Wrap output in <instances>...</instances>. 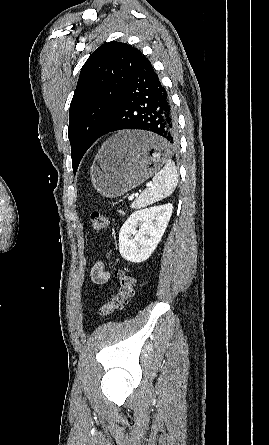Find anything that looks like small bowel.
Returning a JSON list of instances; mask_svg holds the SVG:
<instances>
[{"instance_id": "c3829d8e", "label": "small bowel", "mask_w": 269, "mask_h": 445, "mask_svg": "<svg viewBox=\"0 0 269 445\" xmlns=\"http://www.w3.org/2000/svg\"><path fill=\"white\" fill-rule=\"evenodd\" d=\"M90 276L91 280L98 285L106 284L110 279V273L100 259L96 260L92 266Z\"/></svg>"}]
</instances>
